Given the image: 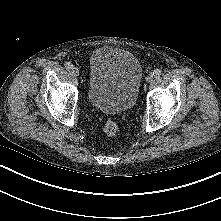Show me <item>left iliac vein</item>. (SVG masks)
<instances>
[{"instance_id":"4c4485c4","label":"left iliac vein","mask_w":221,"mask_h":221,"mask_svg":"<svg viewBox=\"0 0 221 221\" xmlns=\"http://www.w3.org/2000/svg\"><path fill=\"white\" fill-rule=\"evenodd\" d=\"M153 79H154V77H153L152 74H150V75H148V76L146 77V81H147L148 83L152 82Z\"/></svg>"}]
</instances>
